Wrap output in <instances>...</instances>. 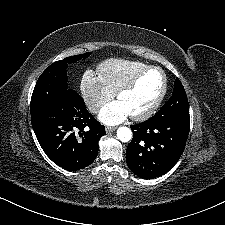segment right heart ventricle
Here are the masks:
<instances>
[{
	"instance_id": "right-heart-ventricle-1",
	"label": "right heart ventricle",
	"mask_w": 225,
	"mask_h": 225,
	"mask_svg": "<svg viewBox=\"0 0 225 225\" xmlns=\"http://www.w3.org/2000/svg\"><path fill=\"white\" fill-rule=\"evenodd\" d=\"M146 66L140 61L111 58L99 64L98 72L105 86L115 94L139 70Z\"/></svg>"
}]
</instances>
